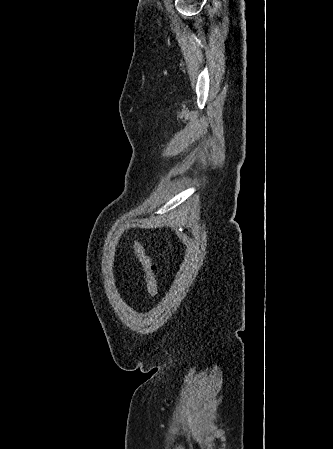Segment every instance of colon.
Here are the masks:
<instances>
[{
	"label": "colon",
	"mask_w": 333,
	"mask_h": 449,
	"mask_svg": "<svg viewBox=\"0 0 333 449\" xmlns=\"http://www.w3.org/2000/svg\"><path fill=\"white\" fill-rule=\"evenodd\" d=\"M132 250L136 258L140 262L144 274L147 292L150 297L158 294V266L154 258L149 254L139 242H133Z\"/></svg>",
	"instance_id": "5ec220e1"
}]
</instances>
